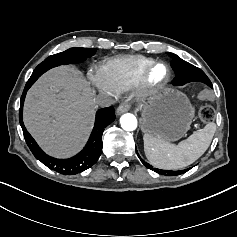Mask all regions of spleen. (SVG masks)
Segmentation results:
<instances>
[{"mask_svg":"<svg viewBox=\"0 0 237 237\" xmlns=\"http://www.w3.org/2000/svg\"><path fill=\"white\" fill-rule=\"evenodd\" d=\"M216 130L215 123H208L178 145L144 134V152L155 167L179 169L192 164L209 147Z\"/></svg>","mask_w":237,"mask_h":237,"instance_id":"obj_1","label":"spleen"}]
</instances>
